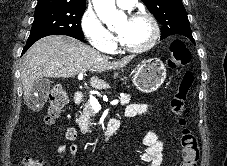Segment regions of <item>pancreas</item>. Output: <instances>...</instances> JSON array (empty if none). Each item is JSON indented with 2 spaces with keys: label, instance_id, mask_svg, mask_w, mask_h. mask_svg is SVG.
I'll list each match as a JSON object with an SVG mask.
<instances>
[{
  "label": "pancreas",
  "instance_id": "cf45deb5",
  "mask_svg": "<svg viewBox=\"0 0 227 166\" xmlns=\"http://www.w3.org/2000/svg\"><path fill=\"white\" fill-rule=\"evenodd\" d=\"M130 102V95H124L120 97V104L126 105ZM93 108L90 102H86L83 108V112L77 119V123L83 133L91 132L89 127L91 126V117L93 116Z\"/></svg>",
  "mask_w": 227,
  "mask_h": 166
}]
</instances>
